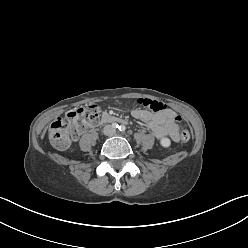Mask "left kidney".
Segmentation results:
<instances>
[{
	"mask_svg": "<svg viewBox=\"0 0 248 248\" xmlns=\"http://www.w3.org/2000/svg\"><path fill=\"white\" fill-rule=\"evenodd\" d=\"M160 144L165 147L168 148L171 145V141L169 138H162L160 141Z\"/></svg>",
	"mask_w": 248,
	"mask_h": 248,
	"instance_id": "left-kidney-1",
	"label": "left kidney"
}]
</instances>
